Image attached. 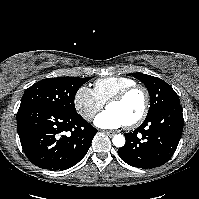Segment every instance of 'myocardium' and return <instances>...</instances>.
<instances>
[{"label": "myocardium", "mask_w": 199, "mask_h": 199, "mask_svg": "<svg viewBox=\"0 0 199 199\" xmlns=\"http://www.w3.org/2000/svg\"><path fill=\"white\" fill-rule=\"evenodd\" d=\"M135 90H139L143 93V95H144V105H143V109H142V112L140 113V115L135 120H133L132 122L125 124V126L127 128H134V127L140 125L144 121L146 116L148 115L149 108H150V94H149L148 89L141 84L130 85V86L124 88L123 90H121L115 96H113L107 102V105H106L108 107V105H110L112 103H118V102L123 101L131 92H133Z\"/></svg>", "instance_id": "f54148a6"}]
</instances>
